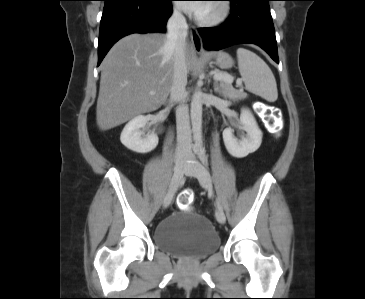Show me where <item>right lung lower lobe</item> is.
<instances>
[{"mask_svg": "<svg viewBox=\"0 0 365 299\" xmlns=\"http://www.w3.org/2000/svg\"><path fill=\"white\" fill-rule=\"evenodd\" d=\"M172 0H106L100 23L98 65L109 49L132 33L165 32Z\"/></svg>", "mask_w": 365, "mask_h": 299, "instance_id": "obj_1", "label": "right lung lower lobe"}]
</instances>
